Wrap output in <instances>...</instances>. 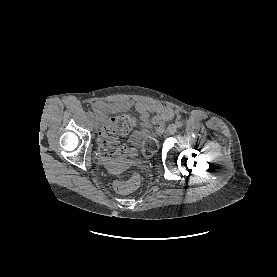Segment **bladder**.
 <instances>
[{
	"label": "bladder",
	"mask_w": 277,
	"mask_h": 277,
	"mask_svg": "<svg viewBox=\"0 0 277 277\" xmlns=\"http://www.w3.org/2000/svg\"><path fill=\"white\" fill-rule=\"evenodd\" d=\"M141 131V133H137L131 137V140L134 144H140L144 136L152 134L151 128L147 125H145Z\"/></svg>",
	"instance_id": "obj_1"
}]
</instances>
